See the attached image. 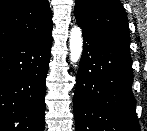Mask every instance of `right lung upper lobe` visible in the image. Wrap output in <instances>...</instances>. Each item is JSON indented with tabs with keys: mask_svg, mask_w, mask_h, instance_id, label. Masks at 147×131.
I'll return each mask as SVG.
<instances>
[{
	"mask_svg": "<svg viewBox=\"0 0 147 131\" xmlns=\"http://www.w3.org/2000/svg\"><path fill=\"white\" fill-rule=\"evenodd\" d=\"M52 30L48 0H0V49Z\"/></svg>",
	"mask_w": 147,
	"mask_h": 131,
	"instance_id": "1",
	"label": "right lung upper lobe"
}]
</instances>
